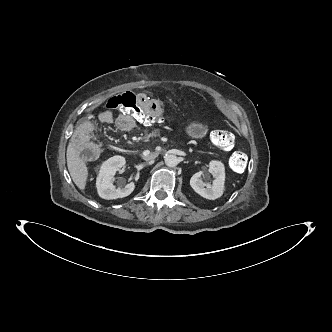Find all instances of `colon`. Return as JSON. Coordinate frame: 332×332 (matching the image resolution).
I'll return each mask as SVG.
<instances>
[{"instance_id":"5ec220e1","label":"colon","mask_w":332,"mask_h":332,"mask_svg":"<svg viewBox=\"0 0 332 332\" xmlns=\"http://www.w3.org/2000/svg\"><path fill=\"white\" fill-rule=\"evenodd\" d=\"M134 94L127 92L116 95L110 98L106 104L108 112H123L124 114H133L134 118L144 126H151L153 124H161L166 122L163 115L155 117L152 114L144 112L136 103ZM211 139L216 146L222 150H230L235 144L234 135L226 130H218L210 134ZM76 149L86 159H94L100 154L98 145L85 137H77L74 141ZM230 168L234 172H241L245 169L247 164V156L243 152H233L229 158Z\"/></svg>"}]
</instances>
